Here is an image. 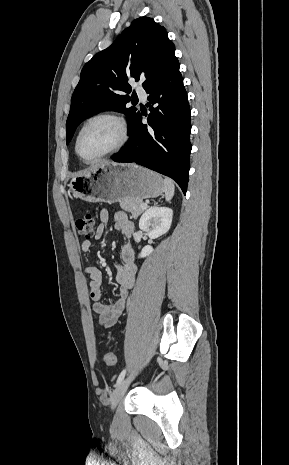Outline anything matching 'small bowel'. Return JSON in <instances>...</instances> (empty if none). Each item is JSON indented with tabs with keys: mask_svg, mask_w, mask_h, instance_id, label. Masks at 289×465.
Here are the masks:
<instances>
[{
	"mask_svg": "<svg viewBox=\"0 0 289 465\" xmlns=\"http://www.w3.org/2000/svg\"><path fill=\"white\" fill-rule=\"evenodd\" d=\"M100 224L95 232V239H101L106 230V225L109 221V212L103 209L99 213ZM114 227L117 231L121 232L125 237H131L133 233V224L128 219L127 215L122 212H116L113 216ZM92 243L90 240H84L81 244V251L86 254L90 251ZM116 280L119 285V297L116 301L111 303H104L102 284L103 277L101 271L92 265L85 268L86 274L90 278L89 294L93 303V311L98 316L99 323L105 327H112L118 320L119 316L124 311L130 291L134 286L137 267L135 264V253L130 243H125L120 251V263L117 264Z\"/></svg>",
	"mask_w": 289,
	"mask_h": 465,
	"instance_id": "obj_1",
	"label": "small bowel"
}]
</instances>
